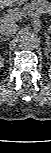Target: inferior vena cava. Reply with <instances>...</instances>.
Returning a JSON list of instances; mask_svg holds the SVG:
<instances>
[{
  "mask_svg": "<svg viewBox=\"0 0 51 153\" xmlns=\"http://www.w3.org/2000/svg\"><path fill=\"white\" fill-rule=\"evenodd\" d=\"M18 31V25L13 21H5L0 25V35L6 37L14 36Z\"/></svg>",
  "mask_w": 51,
  "mask_h": 153,
  "instance_id": "1",
  "label": "inferior vena cava"
}]
</instances>
